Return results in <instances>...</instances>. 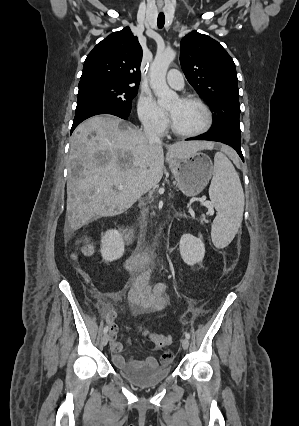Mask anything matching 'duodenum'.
Instances as JSON below:
<instances>
[{
    "label": "duodenum",
    "mask_w": 299,
    "mask_h": 426,
    "mask_svg": "<svg viewBox=\"0 0 299 426\" xmlns=\"http://www.w3.org/2000/svg\"><path fill=\"white\" fill-rule=\"evenodd\" d=\"M120 229H121L122 233L124 234L125 238L126 239H130L129 233H128V231L126 230V228L123 225L120 226ZM148 258H149L148 254L140 253L137 256H135L129 262L130 266H136V265L144 264L148 260Z\"/></svg>",
    "instance_id": "1"
}]
</instances>
